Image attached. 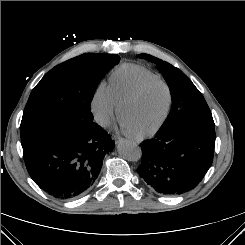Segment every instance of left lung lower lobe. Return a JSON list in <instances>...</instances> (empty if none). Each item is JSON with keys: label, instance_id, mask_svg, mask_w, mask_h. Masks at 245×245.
<instances>
[{"label": "left lung lower lobe", "instance_id": "1", "mask_svg": "<svg viewBox=\"0 0 245 245\" xmlns=\"http://www.w3.org/2000/svg\"><path fill=\"white\" fill-rule=\"evenodd\" d=\"M141 178L158 193L178 195L195 188L213 162L215 129L182 119L142 144Z\"/></svg>", "mask_w": 245, "mask_h": 245}]
</instances>
